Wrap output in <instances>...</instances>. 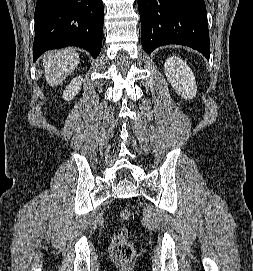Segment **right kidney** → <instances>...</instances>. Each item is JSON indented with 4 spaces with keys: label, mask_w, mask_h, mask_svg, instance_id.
<instances>
[{
    "label": "right kidney",
    "mask_w": 253,
    "mask_h": 271,
    "mask_svg": "<svg viewBox=\"0 0 253 271\" xmlns=\"http://www.w3.org/2000/svg\"><path fill=\"white\" fill-rule=\"evenodd\" d=\"M82 80L83 79L81 76L74 78L64 90L63 99H65L66 101L72 100L76 96L78 91L80 90V87L82 85Z\"/></svg>",
    "instance_id": "obj_1"
}]
</instances>
